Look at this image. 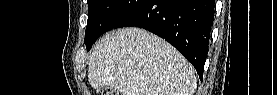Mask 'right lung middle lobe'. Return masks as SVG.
Wrapping results in <instances>:
<instances>
[{
  "label": "right lung middle lobe",
  "instance_id": "dd1d6c3e",
  "mask_svg": "<svg viewBox=\"0 0 277 95\" xmlns=\"http://www.w3.org/2000/svg\"><path fill=\"white\" fill-rule=\"evenodd\" d=\"M143 0H88V21L84 42L87 50L103 33L114 28Z\"/></svg>",
  "mask_w": 277,
  "mask_h": 95
}]
</instances>
